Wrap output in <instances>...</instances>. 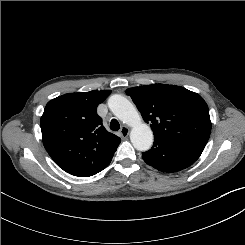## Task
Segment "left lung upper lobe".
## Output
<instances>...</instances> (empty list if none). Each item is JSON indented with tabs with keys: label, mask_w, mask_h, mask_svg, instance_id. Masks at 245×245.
Instances as JSON below:
<instances>
[{
	"label": "left lung upper lobe",
	"mask_w": 245,
	"mask_h": 245,
	"mask_svg": "<svg viewBox=\"0 0 245 245\" xmlns=\"http://www.w3.org/2000/svg\"><path fill=\"white\" fill-rule=\"evenodd\" d=\"M154 138L203 151L211 132L206 102L195 92L180 86L153 84L126 90Z\"/></svg>",
	"instance_id": "5c2ea615"
}]
</instances>
